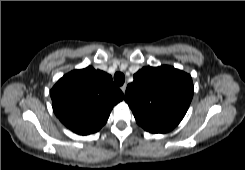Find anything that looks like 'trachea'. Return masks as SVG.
<instances>
[{
  "label": "trachea",
  "instance_id": "3493384b",
  "mask_svg": "<svg viewBox=\"0 0 245 170\" xmlns=\"http://www.w3.org/2000/svg\"><path fill=\"white\" fill-rule=\"evenodd\" d=\"M114 81H115V83H116L118 86L123 85L124 82H125V76H124V74L121 73V72L115 73V75H114Z\"/></svg>",
  "mask_w": 245,
  "mask_h": 170
}]
</instances>
